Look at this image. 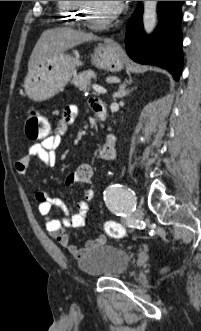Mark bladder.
Instances as JSON below:
<instances>
[{"label": "bladder", "mask_w": 201, "mask_h": 331, "mask_svg": "<svg viewBox=\"0 0 201 331\" xmlns=\"http://www.w3.org/2000/svg\"><path fill=\"white\" fill-rule=\"evenodd\" d=\"M129 265V254L113 244H102L78 261L81 272L93 278L120 277Z\"/></svg>", "instance_id": "bladder-1"}]
</instances>
